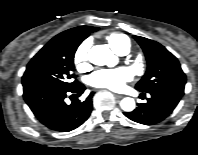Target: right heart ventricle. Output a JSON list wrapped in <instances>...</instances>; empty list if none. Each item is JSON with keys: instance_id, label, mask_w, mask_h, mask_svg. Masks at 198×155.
<instances>
[{"instance_id": "right-heart-ventricle-1", "label": "right heart ventricle", "mask_w": 198, "mask_h": 155, "mask_svg": "<svg viewBox=\"0 0 198 155\" xmlns=\"http://www.w3.org/2000/svg\"><path fill=\"white\" fill-rule=\"evenodd\" d=\"M109 46L118 54L129 51L130 42L128 38L119 33H112L106 37Z\"/></svg>"}]
</instances>
